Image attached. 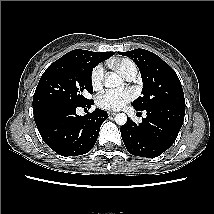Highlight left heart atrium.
I'll use <instances>...</instances> for the list:
<instances>
[{"label": "left heart atrium", "instance_id": "1", "mask_svg": "<svg viewBox=\"0 0 214 214\" xmlns=\"http://www.w3.org/2000/svg\"><path fill=\"white\" fill-rule=\"evenodd\" d=\"M133 98L134 92L131 89L121 91L105 90L97 96L96 103L103 109L119 110Z\"/></svg>", "mask_w": 214, "mask_h": 214}]
</instances>
